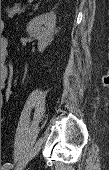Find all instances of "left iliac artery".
<instances>
[{
	"label": "left iliac artery",
	"mask_w": 109,
	"mask_h": 170,
	"mask_svg": "<svg viewBox=\"0 0 109 170\" xmlns=\"http://www.w3.org/2000/svg\"><path fill=\"white\" fill-rule=\"evenodd\" d=\"M13 167V164L11 163H6L2 166L1 170H9L10 168Z\"/></svg>",
	"instance_id": "obj_1"
}]
</instances>
